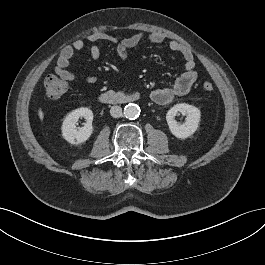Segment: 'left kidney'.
Segmentation results:
<instances>
[{
    "label": "left kidney",
    "mask_w": 265,
    "mask_h": 265,
    "mask_svg": "<svg viewBox=\"0 0 265 265\" xmlns=\"http://www.w3.org/2000/svg\"><path fill=\"white\" fill-rule=\"evenodd\" d=\"M177 113L186 115L185 123L179 124L174 119ZM200 117V110L197 107L186 103L174 105L166 114V120L171 133L179 139H186L196 132L200 122Z\"/></svg>",
    "instance_id": "left-kidney-1"
}]
</instances>
